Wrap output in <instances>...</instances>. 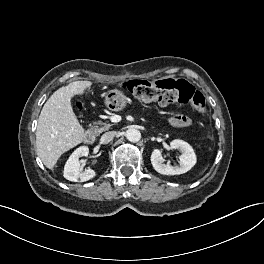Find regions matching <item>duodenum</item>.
<instances>
[{
	"mask_svg": "<svg viewBox=\"0 0 264 264\" xmlns=\"http://www.w3.org/2000/svg\"><path fill=\"white\" fill-rule=\"evenodd\" d=\"M96 136L92 130H88L84 134V142L86 144H93L95 142Z\"/></svg>",
	"mask_w": 264,
	"mask_h": 264,
	"instance_id": "duodenum-1",
	"label": "duodenum"
}]
</instances>
